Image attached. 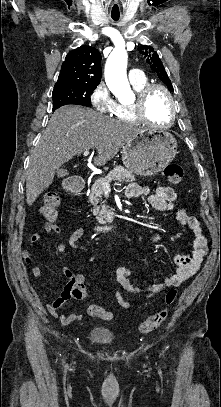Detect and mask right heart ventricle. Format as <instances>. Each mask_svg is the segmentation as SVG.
<instances>
[{"instance_id": "obj_1", "label": "right heart ventricle", "mask_w": 221, "mask_h": 407, "mask_svg": "<svg viewBox=\"0 0 221 407\" xmlns=\"http://www.w3.org/2000/svg\"><path fill=\"white\" fill-rule=\"evenodd\" d=\"M131 85L133 86L134 90L138 93L140 92L144 87L148 85L147 79L144 77L141 81L137 82H130ZM133 103H124V102H119L116 103L115 110L113 111V115L116 119L125 121V122H136L138 121L135 113H134V108H133Z\"/></svg>"}]
</instances>
